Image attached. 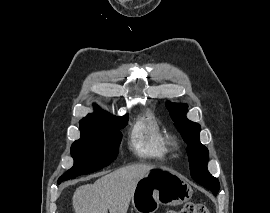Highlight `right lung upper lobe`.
Here are the masks:
<instances>
[{"label":"right lung upper lobe","instance_id":"obj_1","mask_svg":"<svg viewBox=\"0 0 270 213\" xmlns=\"http://www.w3.org/2000/svg\"><path fill=\"white\" fill-rule=\"evenodd\" d=\"M97 110L93 114H89L87 117L83 118L80 123L83 122H108L113 121L118 118L113 117L112 115L102 111L96 106Z\"/></svg>","mask_w":270,"mask_h":213}]
</instances>
